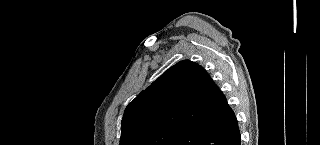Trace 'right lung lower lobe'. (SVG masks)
Instances as JSON below:
<instances>
[{
  "label": "right lung lower lobe",
  "instance_id": "98d812e1",
  "mask_svg": "<svg viewBox=\"0 0 320 145\" xmlns=\"http://www.w3.org/2000/svg\"><path fill=\"white\" fill-rule=\"evenodd\" d=\"M237 119L224 96L216 114L182 129L167 145H240Z\"/></svg>",
  "mask_w": 320,
  "mask_h": 145
}]
</instances>
